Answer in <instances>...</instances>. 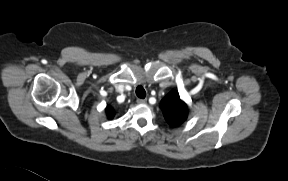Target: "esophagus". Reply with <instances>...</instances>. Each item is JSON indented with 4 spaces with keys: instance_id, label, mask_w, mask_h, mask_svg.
I'll use <instances>...</instances> for the list:
<instances>
[{
    "instance_id": "obj_1",
    "label": "esophagus",
    "mask_w": 288,
    "mask_h": 181,
    "mask_svg": "<svg viewBox=\"0 0 288 181\" xmlns=\"http://www.w3.org/2000/svg\"><path fill=\"white\" fill-rule=\"evenodd\" d=\"M146 102H147V99H142V98L137 99L138 104H146Z\"/></svg>"
}]
</instances>
